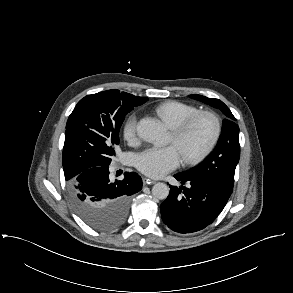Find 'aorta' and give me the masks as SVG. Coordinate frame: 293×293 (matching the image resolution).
<instances>
[{"mask_svg": "<svg viewBox=\"0 0 293 293\" xmlns=\"http://www.w3.org/2000/svg\"><path fill=\"white\" fill-rule=\"evenodd\" d=\"M137 132L141 138L155 145H162L167 139V130L163 123L155 118H142L137 124ZM169 187L165 183H156L152 187V195L160 200L169 195Z\"/></svg>", "mask_w": 293, "mask_h": 293, "instance_id": "aorta-1", "label": "aorta"}]
</instances>
